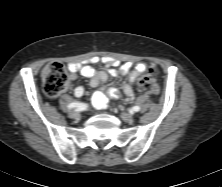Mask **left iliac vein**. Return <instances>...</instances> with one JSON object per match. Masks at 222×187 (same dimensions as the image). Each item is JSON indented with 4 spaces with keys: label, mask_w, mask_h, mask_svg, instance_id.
Returning <instances> with one entry per match:
<instances>
[{
    "label": "left iliac vein",
    "mask_w": 222,
    "mask_h": 187,
    "mask_svg": "<svg viewBox=\"0 0 222 187\" xmlns=\"http://www.w3.org/2000/svg\"><path fill=\"white\" fill-rule=\"evenodd\" d=\"M120 116H121V119L125 122H132L134 119V116L132 114H129L126 112L121 113Z\"/></svg>",
    "instance_id": "left-iliac-vein-1"
}]
</instances>
